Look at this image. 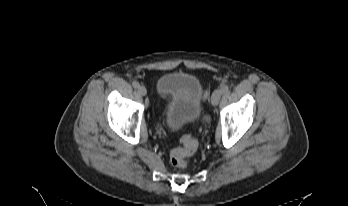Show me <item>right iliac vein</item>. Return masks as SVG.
Returning <instances> with one entry per match:
<instances>
[{"label": "right iliac vein", "instance_id": "1", "mask_svg": "<svg viewBox=\"0 0 348 206\" xmlns=\"http://www.w3.org/2000/svg\"><path fill=\"white\" fill-rule=\"evenodd\" d=\"M138 93L141 95V96H145L147 94V89L145 86L141 85L138 87Z\"/></svg>", "mask_w": 348, "mask_h": 206}]
</instances>
